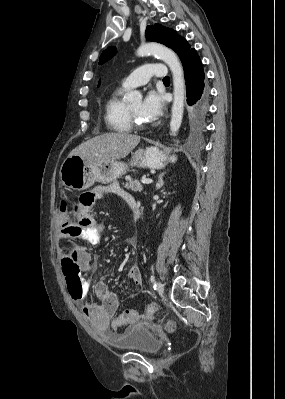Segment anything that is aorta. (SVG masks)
<instances>
[{
	"mask_svg": "<svg viewBox=\"0 0 285 399\" xmlns=\"http://www.w3.org/2000/svg\"><path fill=\"white\" fill-rule=\"evenodd\" d=\"M137 56L154 55L164 61L170 68L173 76V105L170 120V135L178 132L184 113L185 80L183 68L176 53L170 48L159 43H144L137 49ZM127 102L140 101L142 95L139 91H130L125 96Z\"/></svg>",
	"mask_w": 285,
	"mask_h": 399,
	"instance_id": "aorta-1",
	"label": "aorta"
}]
</instances>
